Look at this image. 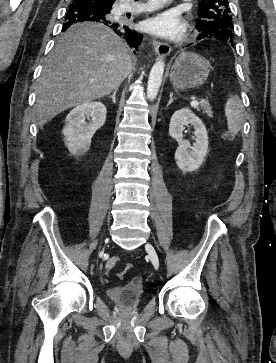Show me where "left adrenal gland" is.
Listing matches in <instances>:
<instances>
[{"label": "left adrenal gland", "instance_id": "a2214340", "mask_svg": "<svg viewBox=\"0 0 276 363\" xmlns=\"http://www.w3.org/2000/svg\"><path fill=\"white\" fill-rule=\"evenodd\" d=\"M176 98H173V93H170V99H169V102H168V104H167V107L169 106V105H171V103L175 100Z\"/></svg>", "mask_w": 276, "mask_h": 363}]
</instances>
